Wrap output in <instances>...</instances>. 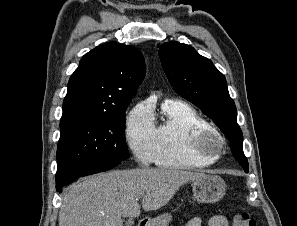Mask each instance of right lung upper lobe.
Instances as JSON below:
<instances>
[{
	"label": "right lung upper lobe",
	"instance_id": "1",
	"mask_svg": "<svg viewBox=\"0 0 297 226\" xmlns=\"http://www.w3.org/2000/svg\"><path fill=\"white\" fill-rule=\"evenodd\" d=\"M144 76V57L138 49L115 42L94 48L69 79L61 121L122 115Z\"/></svg>",
	"mask_w": 297,
	"mask_h": 226
}]
</instances>
